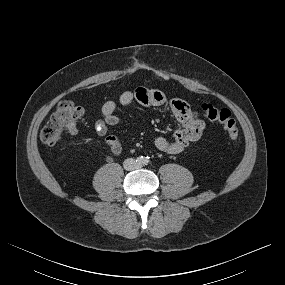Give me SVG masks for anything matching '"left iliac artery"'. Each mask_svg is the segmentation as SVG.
<instances>
[{
    "label": "left iliac artery",
    "mask_w": 285,
    "mask_h": 285,
    "mask_svg": "<svg viewBox=\"0 0 285 285\" xmlns=\"http://www.w3.org/2000/svg\"><path fill=\"white\" fill-rule=\"evenodd\" d=\"M147 158H149V157H147ZM149 163V160L148 159H145L144 160V164H148Z\"/></svg>",
    "instance_id": "left-iliac-artery-1"
}]
</instances>
